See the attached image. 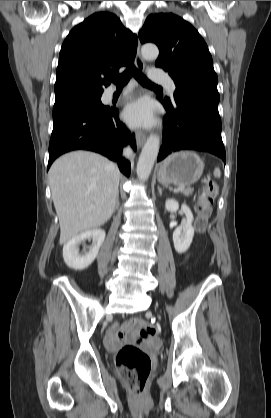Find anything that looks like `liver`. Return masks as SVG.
Wrapping results in <instances>:
<instances>
[{
  "instance_id": "1",
  "label": "liver",
  "mask_w": 271,
  "mask_h": 418,
  "mask_svg": "<svg viewBox=\"0 0 271 418\" xmlns=\"http://www.w3.org/2000/svg\"><path fill=\"white\" fill-rule=\"evenodd\" d=\"M119 177L116 164L88 151L65 154L52 164L49 183L59 218L60 244L111 218Z\"/></svg>"
}]
</instances>
